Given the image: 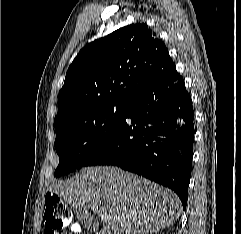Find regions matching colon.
<instances>
[{
	"label": "colon",
	"mask_w": 241,
	"mask_h": 234,
	"mask_svg": "<svg viewBox=\"0 0 241 234\" xmlns=\"http://www.w3.org/2000/svg\"><path fill=\"white\" fill-rule=\"evenodd\" d=\"M71 218L68 206L57 195L48 193L45 198L43 218L47 230L56 231L67 227L71 223Z\"/></svg>",
	"instance_id": "obj_1"
}]
</instances>
